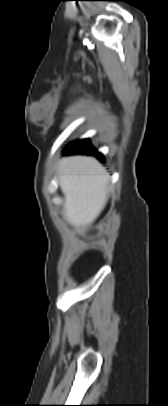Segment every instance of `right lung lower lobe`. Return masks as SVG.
I'll list each match as a JSON object with an SVG mask.
<instances>
[{
	"mask_svg": "<svg viewBox=\"0 0 168 406\" xmlns=\"http://www.w3.org/2000/svg\"><path fill=\"white\" fill-rule=\"evenodd\" d=\"M67 154H96L97 150L90 145L89 140L79 141L66 148ZM99 157L103 156L98 153Z\"/></svg>",
	"mask_w": 168,
	"mask_h": 406,
	"instance_id": "right-lung-lower-lobe-1",
	"label": "right lung lower lobe"
}]
</instances>
